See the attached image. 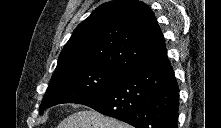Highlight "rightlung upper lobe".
<instances>
[{"mask_svg": "<svg viewBox=\"0 0 221 128\" xmlns=\"http://www.w3.org/2000/svg\"><path fill=\"white\" fill-rule=\"evenodd\" d=\"M165 52L152 10L138 0H114L100 5L77 26L55 71L98 66L127 73Z\"/></svg>", "mask_w": 221, "mask_h": 128, "instance_id": "cb5924a9", "label": "right lung upper lobe"}]
</instances>
